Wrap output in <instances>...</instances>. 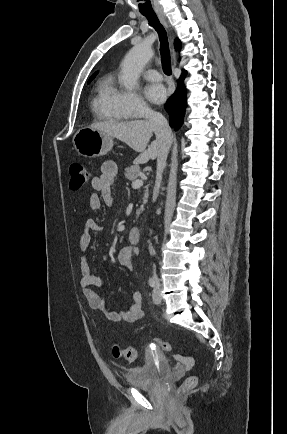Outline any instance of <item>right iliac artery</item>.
Here are the masks:
<instances>
[{
	"label": "right iliac artery",
	"mask_w": 287,
	"mask_h": 434,
	"mask_svg": "<svg viewBox=\"0 0 287 434\" xmlns=\"http://www.w3.org/2000/svg\"><path fill=\"white\" fill-rule=\"evenodd\" d=\"M156 284H157V281H156L155 278H150V279H149V285H150L151 287H155Z\"/></svg>",
	"instance_id": "obj_1"
}]
</instances>
